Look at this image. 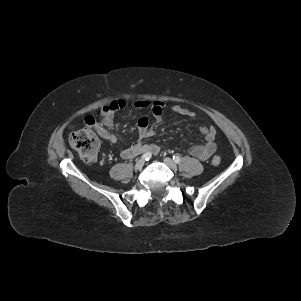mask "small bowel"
Masks as SVG:
<instances>
[{
  "label": "small bowel",
  "mask_w": 301,
  "mask_h": 301,
  "mask_svg": "<svg viewBox=\"0 0 301 301\" xmlns=\"http://www.w3.org/2000/svg\"><path fill=\"white\" fill-rule=\"evenodd\" d=\"M133 105L138 109L150 108L152 112L153 124H159L162 121V113L164 109L163 102L138 100ZM126 106L127 103L124 100H114L101 109V120L99 122L96 121L92 116H86L84 122L87 126L93 128L102 138L108 140L111 143H115L117 141V137L110 131V129L115 126L116 112L124 109ZM172 111L176 114L190 118L195 116V113L193 111L179 105L173 106ZM137 129V140L129 147L121 151V157L124 159H130L141 152L158 154L160 150L158 145L145 142L154 135L150 121L147 117H141L138 120ZM199 130L200 133L205 137V143L192 146L189 149V153L200 160H207L216 151L217 148L215 142L216 129L213 126H202Z\"/></svg>",
  "instance_id": "small-bowel-1"
}]
</instances>
